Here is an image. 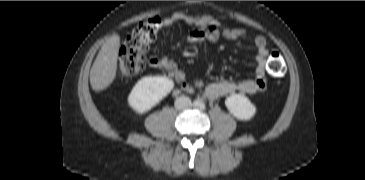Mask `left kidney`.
Segmentation results:
<instances>
[{
  "mask_svg": "<svg viewBox=\"0 0 365 180\" xmlns=\"http://www.w3.org/2000/svg\"><path fill=\"white\" fill-rule=\"evenodd\" d=\"M225 105L230 113L240 120H250L256 113L255 105L241 94H232L227 97Z\"/></svg>",
  "mask_w": 365,
  "mask_h": 180,
  "instance_id": "5707ae66",
  "label": "left kidney"
}]
</instances>
